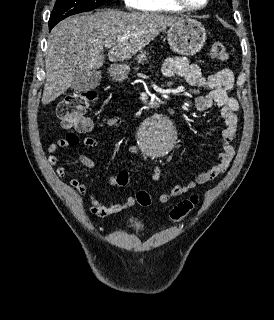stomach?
Instances as JSON below:
<instances>
[{
    "label": "stomach",
    "mask_w": 274,
    "mask_h": 320,
    "mask_svg": "<svg viewBox=\"0 0 274 320\" xmlns=\"http://www.w3.org/2000/svg\"><path fill=\"white\" fill-rule=\"evenodd\" d=\"M168 44L175 52L180 56H195L200 52L206 42V30L202 26L201 22L192 20V18H181L174 22L173 26H170L168 32ZM139 64H144V60H147V52H141L137 58ZM113 80L122 82L129 74L128 66H122V64H113L108 70Z\"/></svg>",
    "instance_id": "stomach-1"
}]
</instances>
